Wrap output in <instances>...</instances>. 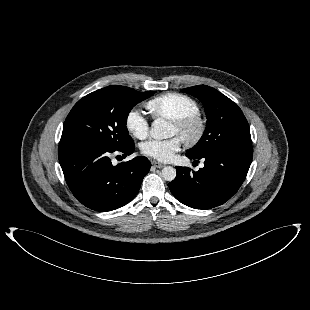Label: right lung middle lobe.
Segmentation results:
<instances>
[{
    "label": "right lung middle lobe",
    "mask_w": 310,
    "mask_h": 310,
    "mask_svg": "<svg viewBox=\"0 0 310 310\" xmlns=\"http://www.w3.org/2000/svg\"><path fill=\"white\" fill-rule=\"evenodd\" d=\"M154 93L111 85L86 95L68 114L60 143L95 142L116 149L132 144L126 127L128 114L137 103Z\"/></svg>",
    "instance_id": "1"
}]
</instances>
